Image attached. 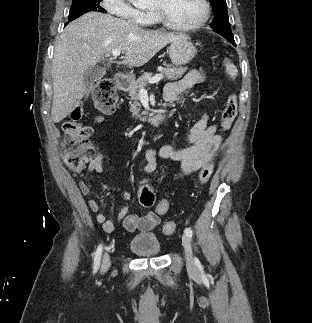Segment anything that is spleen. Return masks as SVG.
<instances>
[{
	"instance_id": "1",
	"label": "spleen",
	"mask_w": 312,
	"mask_h": 323,
	"mask_svg": "<svg viewBox=\"0 0 312 323\" xmlns=\"http://www.w3.org/2000/svg\"><path fill=\"white\" fill-rule=\"evenodd\" d=\"M224 66H226V74H229L231 78H235V76H237L238 70L234 64H230V60H225Z\"/></svg>"
}]
</instances>
